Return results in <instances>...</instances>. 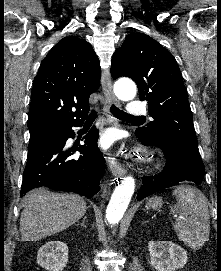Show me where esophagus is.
<instances>
[{
    "instance_id": "esophagus-1",
    "label": "esophagus",
    "mask_w": 221,
    "mask_h": 271,
    "mask_svg": "<svg viewBox=\"0 0 221 271\" xmlns=\"http://www.w3.org/2000/svg\"><path fill=\"white\" fill-rule=\"evenodd\" d=\"M102 90L106 98V103L104 105V111L108 113L109 105L114 103L115 105H119L120 102L116 98L113 93L112 85H111V77L108 70H104L101 78ZM108 165L110 167L111 172L115 176H123L126 173V170L121 166V164L116 160L113 155L107 156Z\"/></svg>"
}]
</instances>
